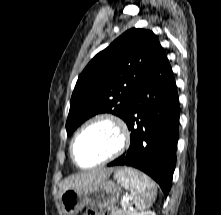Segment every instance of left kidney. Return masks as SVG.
Segmentation results:
<instances>
[{
    "instance_id": "1",
    "label": "left kidney",
    "mask_w": 221,
    "mask_h": 215,
    "mask_svg": "<svg viewBox=\"0 0 221 215\" xmlns=\"http://www.w3.org/2000/svg\"><path fill=\"white\" fill-rule=\"evenodd\" d=\"M135 215H156V214H155V212L147 210V211H142V212L136 213Z\"/></svg>"
}]
</instances>
